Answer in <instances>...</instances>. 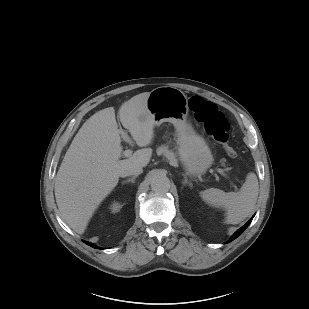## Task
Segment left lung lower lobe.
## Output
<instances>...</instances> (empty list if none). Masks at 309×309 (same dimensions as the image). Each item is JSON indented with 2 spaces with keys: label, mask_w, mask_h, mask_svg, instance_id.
Wrapping results in <instances>:
<instances>
[{
  "label": "left lung lower lobe",
  "mask_w": 309,
  "mask_h": 309,
  "mask_svg": "<svg viewBox=\"0 0 309 309\" xmlns=\"http://www.w3.org/2000/svg\"><path fill=\"white\" fill-rule=\"evenodd\" d=\"M253 217H254V216H253ZM253 217H252L242 228H240V229L232 236V238H231L228 242H231V241H233L234 239H236V238L249 226V224L251 223ZM228 242H227V243H228Z\"/></svg>",
  "instance_id": "obj_1"
}]
</instances>
